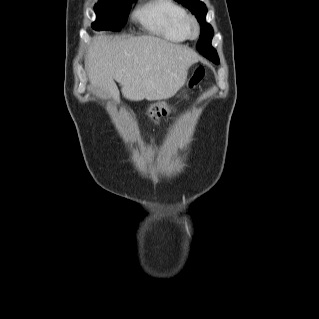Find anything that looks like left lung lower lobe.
<instances>
[{"mask_svg":"<svg viewBox=\"0 0 319 319\" xmlns=\"http://www.w3.org/2000/svg\"><path fill=\"white\" fill-rule=\"evenodd\" d=\"M209 45L211 46V42L209 43ZM212 48H213V47H212ZM198 49L200 50V53H201L204 57H206V58L210 59L212 62L218 64L217 62H219V58H218V55H217V54H216L215 56H210L208 53L205 52L204 49H202L201 44H199Z\"/></svg>","mask_w":319,"mask_h":319,"instance_id":"left-lung-lower-lobe-1","label":"left lung lower lobe"}]
</instances>
